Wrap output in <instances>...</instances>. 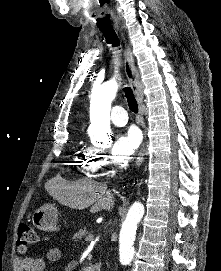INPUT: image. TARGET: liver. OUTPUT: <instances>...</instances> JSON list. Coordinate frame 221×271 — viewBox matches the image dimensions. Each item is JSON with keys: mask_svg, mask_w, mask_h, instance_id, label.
<instances>
[{"mask_svg": "<svg viewBox=\"0 0 221 271\" xmlns=\"http://www.w3.org/2000/svg\"><path fill=\"white\" fill-rule=\"evenodd\" d=\"M48 193L57 199L62 205H68L72 209H85L94 203V209H107L111 211L115 203L111 197H102L106 193L105 183L94 179H77L74 183H68L64 179H49L45 185ZM99 191V193H96ZM101 197V199H98Z\"/></svg>", "mask_w": 221, "mask_h": 271, "instance_id": "1", "label": "liver"}]
</instances>
